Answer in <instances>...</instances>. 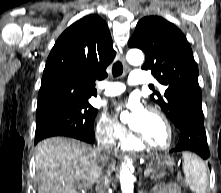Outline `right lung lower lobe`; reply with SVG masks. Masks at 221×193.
<instances>
[{
  "label": "right lung lower lobe",
  "mask_w": 221,
  "mask_h": 193,
  "mask_svg": "<svg viewBox=\"0 0 221 193\" xmlns=\"http://www.w3.org/2000/svg\"><path fill=\"white\" fill-rule=\"evenodd\" d=\"M69 137H73V138H77V139H80V140H83V141H86L88 143H92L94 142L95 140V135L93 136H82L81 138H78V137H74V136H69ZM40 141V140H39ZM39 141H35V144Z\"/></svg>",
  "instance_id": "right-lung-lower-lobe-1"
}]
</instances>
